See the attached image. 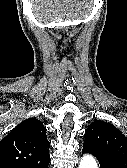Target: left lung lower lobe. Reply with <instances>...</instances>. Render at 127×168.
Masks as SVG:
<instances>
[{"label":"left lung lower lobe","instance_id":"obj_1","mask_svg":"<svg viewBox=\"0 0 127 168\" xmlns=\"http://www.w3.org/2000/svg\"><path fill=\"white\" fill-rule=\"evenodd\" d=\"M82 153H90L92 155H94L97 160L99 161L100 163V168H117L108 158L107 156L96 150V149H90V148H84L83 147V150H82Z\"/></svg>","mask_w":127,"mask_h":168}]
</instances>
